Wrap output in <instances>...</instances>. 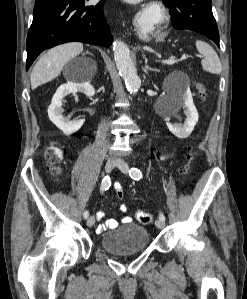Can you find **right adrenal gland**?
Returning a JSON list of instances; mask_svg holds the SVG:
<instances>
[{
	"mask_svg": "<svg viewBox=\"0 0 247 299\" xmlns=\"http://www.w3.org/2000/svg\"><path fill=\"white\" fill-rule=\"evenodd\" d=\"M87 53L93 56V54H92V53H90L89 51H88Z\"/></svg>",
	"mask_w": 247,
	"mask_h": 299,
	"instance_id": "1",
	"label": "right adrenal gland"
}]
</instances>
